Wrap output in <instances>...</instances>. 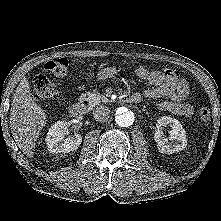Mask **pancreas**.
<instances>
[{"label":"pancreas","instance_id":"1","mask_svg":"<svg viewBox=\"0 0 221 221\" xmlns=\"http://www.w3.org/2000/svg\"><path fill=\"white\" fill-rule=\"evenodd\" d=\"M88 96L91 100L96 101V102H107L108 101V99L105 96L100 95V94L89 93Z\"/></svg>","mask_w":221,"mask_h":221}]
</instances>
